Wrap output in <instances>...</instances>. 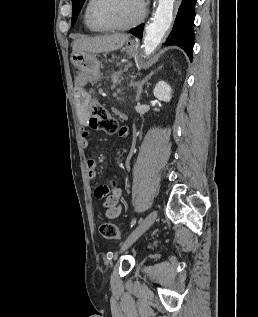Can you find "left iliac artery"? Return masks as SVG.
<instances>
[{"instance_id": "left-iliac-artery-1", "label": "left iliac artery", "mask_w": 258, "mask_h": 317, "mask_svg": "<svg viewBox=\"0 0 258 317\" xmlns=\"http://www.w3.org/2000/svg\"><path fill=\"white\" fill-rule=\"evenodd\" d=\"M136 217H134L131 221V228L136 224Z\"/></svg>"}]
</instances>
